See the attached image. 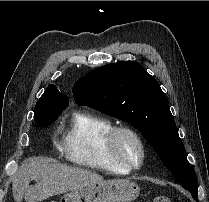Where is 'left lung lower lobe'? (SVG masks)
<instances>
[{
  "instance_id": "0a47b994",
  "label": "left lung lower lobe",
  "mask_w": 209,
  "mask_h": 202,
  "mask_svg": "<svg viewBox=\"0 0 209 202\" xmlns=\"http://www.w3.org/2000/svg\"><path fill=\"white\" fill-rule=\"evenodd\" d=\"M192 197L194 198L195 201L198 202V193L197 194L196 193L192 194Z\"/></svg>"
}]
</instances>
